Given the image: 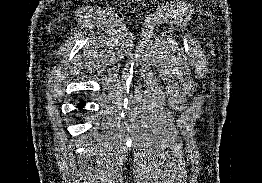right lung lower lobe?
<instances>
[{
    "label": "right lung lower lobe",
    "mask_w": 262,
    "mask_h": 183,
    "mask_svg": "<svg viewBox=\"0 0 262 183\" xmlns=\"http://www.w3.org/2000/svg\"><path fill=\"white\" fill-rule=\"evenodd\" d=\"M84 106V101L80 100L79 108H82Z\"/></svg>",
    "instance_id": "1"
}]
</instances>
